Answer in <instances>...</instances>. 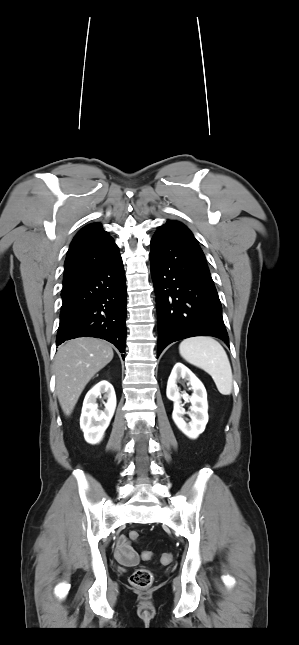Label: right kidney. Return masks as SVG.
<instances>
[{
  "label": "right kidney",
  "instance_id": "ca27d5eb",
  "mask_svg": "<svg viewBox=\"0 0 299 645\" xmlns=\"http://www.w3.org/2000/svg\"><path fill=\"white\" fill-rule=\"evenodd\" d=\"M105 394L104 409L98 408L97 398ZM116 408V395L113 386L106 380L97 383L85 396L80 427L85 440L90 444L99 443L110 424Z\"/></svg>",
  "mask_w": 299,
  "mask_h": 645
}]
</instances>
